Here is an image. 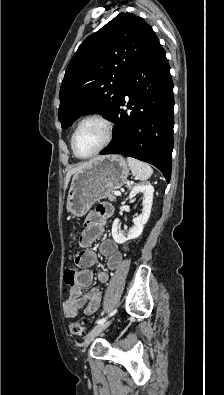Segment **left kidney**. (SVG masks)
<instances>
[{"label":"left kidney","mask_w":224,"mask_h":395,"mask_svg":"<svg viewBox=\"0 0 224 395\" xmlns=\"http://www.w3.org/2000/svg\"><path fill=\"white\" fill-rule=\"evenodd\" d=\"M139 193H143L144 196L143 209L142 213L133 219L134 225L127 232H124L119 229V219H115L113 222L112 237L118 244H123L130 239L138 237L142 233L144 225L149 219L153 201L154 187L149 183L136 185L132 188L129 194V199L134 198Z\"/></svg>","instance_id":"obj_1"}]
</instances>
